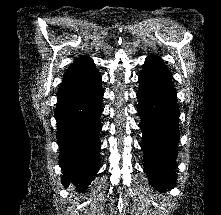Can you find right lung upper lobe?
I'll list each match as a JSON object with an SVG mask.
<instances>
[{
    "label": "right lung upper lobe",
    "mask_w": 221,
    "mask_h": 215,
    "mask_svg": "<svg viewBox=\"0 0 221 215\" xmlns=\"http://www.w3.org/2000/svg\"><path fill=\"white\" fill-rule=\"evenodd\" d=\"M96 69L94 63L88 57H80L66 71L63 81L83 75Z\"/></svg>",
    "instance_id": "1"
}]
</instances>
